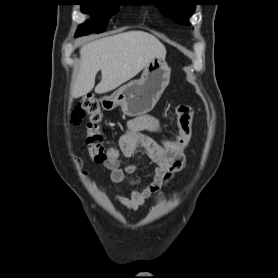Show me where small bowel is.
<instances>
[{"instance_id": "small-bowel-1", "label": "small bowel", "mask_w": 278, "mask_h": 278, "mask_svg": "<svg viewBox=\"0 0 278 278\" xmlns=\"http://www.w3.org/2000/svg\"><path fill=\"white\" fill-rule=\"evenodd\" d=\"M160 121L150 115H143L129 120L125 132L120 136L118 149L120 156L102 162L110 172V180L117 189V200L129 210H137L152 194L166 186L185 166V155L168 150L161 142H156L145 132H160ZM143 153L153 163V178L143 189L122 192L118 185L128 182L132 185L140 183L139 178L130 175L135 171L134 164L123 165L122 157L130 158Z\"/></svg>"}]
</instances>
